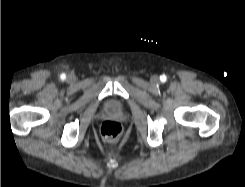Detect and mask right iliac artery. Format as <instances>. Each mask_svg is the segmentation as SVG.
Instances as JSON below:
<instances>
[{
    "instance_id": "1",
    "label": "right iliac artery",
    "mask_w": 245,
    "mask_h": 187,
    "mask_svg": "<svg viewBox=\"0 0 245 187\" xmlns=\"http://www.w3.org/2000/svg\"><path fill=\"white\" fill-rule=\"evenodd\" d=\"M61 78H62V79H65V78H66V75H65V74H62V75H61Z\"/></svg>"
}]
</instances>
